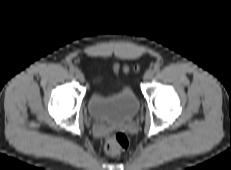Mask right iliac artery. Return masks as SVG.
Listing matches in <instances>:
<instances>
[{
  "label": "right iliac artery",
  "mask_w": 231,
  "mask_h": 170,
  "mask_svg": "<svg viewBox=\"0 0 231 170\" xmlns=\"http://www.w3.org/2000/svg\"><path fill=\"white\" fill-rule=\"evenodd\" d=\"M69 70H70L71 73H74V72L76 71V68L73 67V66H71V67L69 68Z\"/></svg>",
  "instance_id": "82829eb1"
}]
</instances>
